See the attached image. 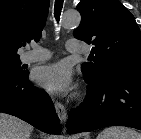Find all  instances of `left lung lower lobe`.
Returning <instances> with one entry per match:
<instances>
[{
	"mask_svg": "<svg viewBox=\"0 0 141 139\" xmlns=\"http://www.w3.org/2000/svg\"><path fill=\"white\" fill-rule=\"evenodd\" d=\"M84 78L87 95L69 114V134L113 125L141 130V75L110 72L96 80Z\"/></svg>",
	"mask_w": 141,
	"mask_h": 139,
	"instance_id": "1",
	"label": "left lung lower lobe"
}]
</instances>
